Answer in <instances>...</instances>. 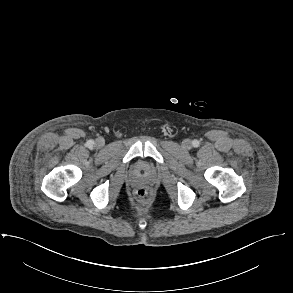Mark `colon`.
Segmentation results:
<instances>
[{"label": "colon", "mask_w": 293, "mask_h": 293, "mask_svg": "<svg viewBox=\"0 0 293 293\" xmlns=\"http://www.w3.org/2000/svg\"><path fill=\"white\" fill-rule=\"evenodd\" d=\"M136 196L140 201L146 202L150 197V193L145 187H139L136 190Z\"/></svg>", "instance_id": "5ec220e1"}]
</instances>
